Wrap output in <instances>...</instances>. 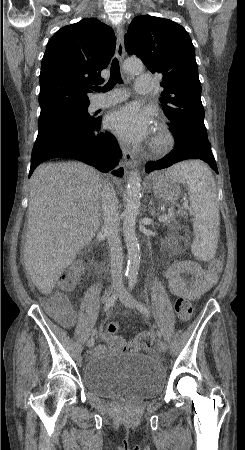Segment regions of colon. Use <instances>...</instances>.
Returning <instances> with one entry per match:
<instances>
[{"instance_id":"colon-1","label":"colon","mask_w":245,"mask_h":450,"mask_svg":"<svg viewBox=\"0 0 245 450\" xmlns=\"http://www.w3.org/2000/svg\"><path fill=\"white\" fill-rule=\"evenodd\" d=\"M85 266L86 262H78L70 273L65 274L57 282L56 285L59 291L54 292L44 300V306L64 327H70L74 323L71 305L65 292L70 291L74 287L75 281L83 272ZM210 266L213 272H219L222 268V258L219 257L212 259ZM175 312L179 320L184 322L188 321L192 312L191 302L185 297L178 298L175 302ZM117 329V323L110 322L107 324V331L109 333L107 342L113 350H124L128 346L122 337L115 335ZM152 341L153 337L150 333L142 332L134 338L132 343L129 345V348L133 350L145 349L151 346Z\"/></svg>"}]
</instances>
